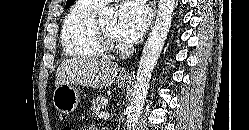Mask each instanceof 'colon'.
<instances>
[{
    "label": "colon",
    "mask_w": 249,
    "mask_h": 130,
    "mask_svg": "<svg viewBox=\"0 0 249 130\" xmlns=\"http://www.w3.org/2000/svg\"><path fill=\"white\" fill-rule=\"evenodd\" d=\"M62 130H75V129L70 125H66L62 128Z\"/></svg>",
    "instance_id": "obj_1"
}]
</instances>
